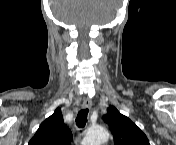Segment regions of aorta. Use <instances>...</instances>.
Listing matches in <instances>:
<instances>
[{"mask_svg": "<svg viewBox=\"0 0 176 145\" xmlns=\"http://www.w3.org/2000/svg\"><path fill=\"white\" fill-rule=\"evenodd\" d=\"M109 139V133L102 126L91 127L85 136V145H103Z\"/></svg>", "mask_w": 176, "mask_h": 145, "instance_id": "1", "label": "aorta"}]
</instances>
